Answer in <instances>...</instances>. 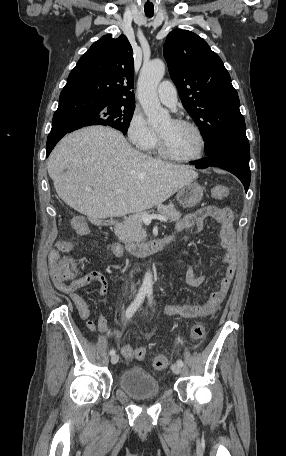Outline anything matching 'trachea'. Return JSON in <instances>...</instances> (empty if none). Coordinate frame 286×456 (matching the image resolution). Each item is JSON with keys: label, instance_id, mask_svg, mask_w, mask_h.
<instances>
[{"label": "trachea", "instance_id": "3493384b", "mask_svg": "<svg viewBox=\"0 0 286 456\" xmlns=\"http://www.w3.org/2000/svg\"><path fill=\"white\" fill-rule=\"evenodd\" d=\"M145 14H146V16H148V17H152V16H153V13H147V12H146Z\"/></svg>", "mask_w": 286, "mask_h": 456}]
</instances>
